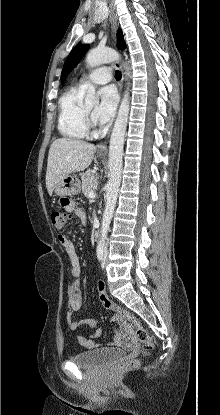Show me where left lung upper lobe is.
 Listing matches in <instances>:
<instances>
[{"label": "left lung upper lobe", "instance_id": "5c2ea615", "mask_svg": "<svg viewBox=\"0 0 220 415\" xmlns=\"http://www.w3.org/2000/svg\"><path fill=\"white\" fill-rule=\"evenodd\" d=\"M117 41H118V47L124 49L125 48V42L123 40L122 31L119 29L117 33ZM89 45L88 44H77L73 50L70 52L69 56L67 57L64 67L61 73V81L62 83L68 76V74L71 72L72 69L76 67V65L79 63L81 58L84 56L86 51L88 50Z\"/></svg>", "mask_w": 220, "mask_h": 415}]
</instances>
